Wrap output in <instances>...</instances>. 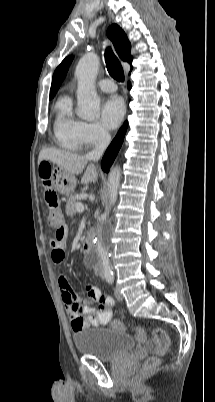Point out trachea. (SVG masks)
Returning <instances> with one entry per match:
<instances>
[{"label": "trachea", "instance_id": "3493384b", "mask_svg": "<svg viewBox=\"0 0 215 402\" xmlns=\"http://www.w3.org/2000/svg\"><path fill=\"white\" fill-rule=\"evenodd\" d=\"M105 62L110 76L119 82H124V71L110 47L105 51Z\"/></svg>", "mask_w": 215, "mask_h": 402}]
</instances>
